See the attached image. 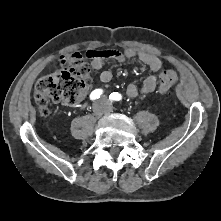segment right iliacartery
Here are the masks:
<instances>
[{
    "mask_svg": "<svg viewBox=\"0 0 221 221\" xmlns=\"http://www.w3.org/2000/svg\"><path fill=\"white\" fill-rule=\"evenodd\" d=\"M102 93H103V90H102V89H95V90L92 91V93L90 94V99H91V100L98 99Z\"/></svg>",
    "mask_w": 221,
    "mask_h": 221,
    "instance_id": "1",
    "label": "right iliac artery"
}]
</instances>
